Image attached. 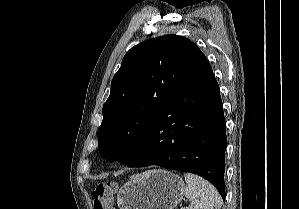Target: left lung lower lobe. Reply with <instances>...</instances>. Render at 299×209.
Listing matches in <instances>:
<instances>
[{"label": "left lung lower lobe", "instance_id": "left-lung-lower-lobe-1", "mask_svg": "<svg viewBox=\"0 0 299 209\" xmlns=\"http://www.w3.org/2000/svg\"><path fill=\"white\" fill-rule=\"evenodd\" d=\"M226 123L210 64L167 100L128 167L159 165L198 174L225 200Z\"/></svg>", "mask_w": 299, "mask_h": 209}]
</instances>
